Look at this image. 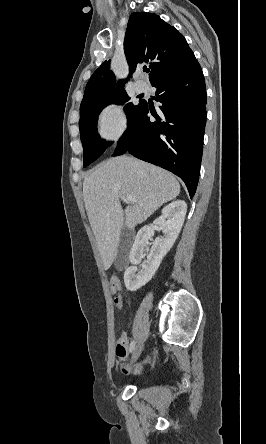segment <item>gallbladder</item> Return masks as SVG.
<instances>
[{"label":"gallbladder","mask_w":266,"mask_h":444,"mask_svg":"<svg viewBox=\"0 0 266 444\" xmlns=\"http://www.w3.org/2000/svg\"><path fill=\"white\" fill-rule=\"evenodd\" d=\"M131 233L127 227H123L120 235L119 245L115 258V267L121 271L126 266Z\"/></svg>","instance_id":"1"}]
</instances>
